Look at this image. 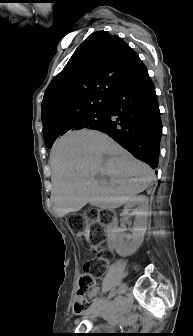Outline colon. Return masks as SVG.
<instances>
[{
	"mask_svg": "<svg viewBox=\"0 0 193 336\" xmlns=\"http://www.w3.org/2000/svg\"><path fill=\"white\" fill-rule=\"evenodd\" d=\"M107 221V215L97 211H88L86 214H73L69 219V226L76 231L78 237L85 243L89 244L96 240L98 244L93 247L94 252L101 259H105L106 253L102 248L105 240L103 224ZM92 264L86 262L83 265L84 273L80 276L77 299L74 305L75 314L79 315L88 309L94 307L95 300L86 299V294L95 286V278L89 272Z\"/></svg>",
	"mask_w": 193,
	"mask_h": 336,
	"instance_id": "1",
	"label": "colon"
}]
</instances>
